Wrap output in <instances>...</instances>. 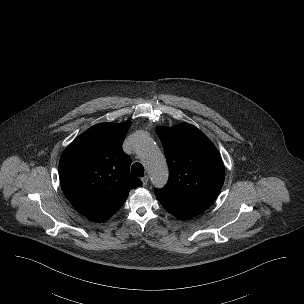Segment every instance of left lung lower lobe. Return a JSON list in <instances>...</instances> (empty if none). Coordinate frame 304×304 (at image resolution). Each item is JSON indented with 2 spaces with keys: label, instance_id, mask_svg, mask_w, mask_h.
Segmentation results:
<instances>
[{
  "label": "left lung lower lobe",
  "instance_id": "obj_1",
  "mask_svg": "<svg viewBox=\"0 0 304 304\" xmlns=\"http://www.w3.org/2000/svg\"><path fill=\"white\" fill-rule=\"evenodd\" d=\"M161 204L169 213H171L172 215H174L175 217H177L179 219H187V218L191 217L188 214H185V213L179 211L178 209H175V208L165 205L163 203H161Z\"/></svg>",
  "mask_w": 304,
  "mask_h": 304
}]
</instances>
